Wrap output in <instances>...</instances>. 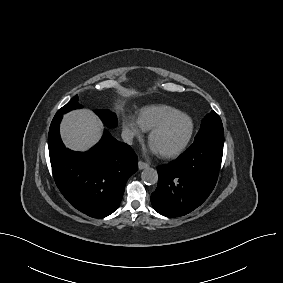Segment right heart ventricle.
Instances as JSON below:
<instances>
[{
  "label": "right heart ventricle",
  "instance_id": "1",
  "mask_svg": "<svg viewBox=\"0 0 283 283\" xmlns=\"http://www.w3.org/2000/svg\"><path fill=\"white\" fill-rule=\"evenodd\" d=\"M175 112L178 110L168 105H149L140 110L138 120L144 130H150L161 119Z\"/></svg>",
  "mask_w": 283,
  "mask_h": 283
}]
</instances>
